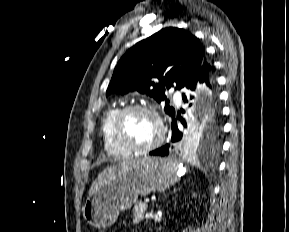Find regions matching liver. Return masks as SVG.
I'll use <instances>...</instances> for the list:
<instances>
[{
	"label": "liver",
	"mask_w": 289,
	"mask_h": 232,
	"mask_svg": "<svg viewBox=\"0 0 289 232\" xmlns=\"http://www.w3.org/2000/svg\"><path fill=\"white\" fill-rule=\"evenodd\" d=\"M139 161L140 159L128 160L104 169L92 183L89 190V196L98 191L102 186H104L109 180L113 179L116 175L127 171L133 164L138 163Z\"/></svg>",
	"instance_id": "1"
}]
</instances>
